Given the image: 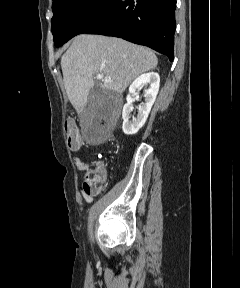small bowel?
<instances>
[{
  "label": "small bowel",
  "instance_id": "c3829d8e",
  "mask_svg": "<svg viewBox=\"0 0 240 288\" xmlns=\"http://www.w3.org/2000/svg\"><path fill=\"white\" fill-rule=\"evenodd\" d=\"M77 150H79V149H77ZM77 150H75V151H77ZM73 162L79 171L89 172L91 170L92 165L90 163H86V162L82 161L78 155H75L73 157ZM83 196L87 200H91V197L89 195L84 194Z\"/></svg>",
  "mask_w": 240,
  "mask_h": 288
}]
</instances>
